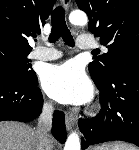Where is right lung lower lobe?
I'll return each mask as SVG.
<instances>
[{
  "mask_svg": "<svg viewBox=\"0 0 139 150\" xmlns=\"http://www.w3.org/2000/svg\"><path fill=\"white\" fill-rule=\"evenodd\" d=\"M37 84V78L33 81H23L12 76L0 75V121L28 122L36 118L41 113L43 104ZM52 133L60 143L65 142L63 112H54Z\"/></svg>",
  "mask_w": 139,
  "mask_h": 150,
  "instance_id": "obj_1",
  "label": "right lung lower lobe"
}]
</instances>
